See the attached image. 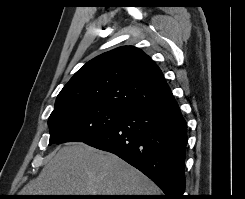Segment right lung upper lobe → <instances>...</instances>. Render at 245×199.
<instances>
[{
	"instance_id": "cb5924a9",
	"label": "right lung upper lobe",
	"mask_w": 245,
	"mask_h": 199,
	"mask_svg": "<svg viewBox=\"0 0 245 199\" xmlns=\"http://www.w3.org/2000/svg\"><path fill=\"white\" fill-rule=\"evenodd\" d=\"M172 94L155 62L140 49L122 46L87 62L59 93L55 110L99 104L130 112Z\"/></svg>"
}]
</instances>
